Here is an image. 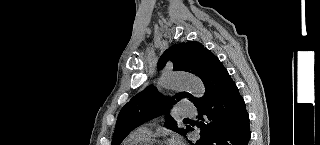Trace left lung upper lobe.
<instances>
[{
  "instance_id": "obj_1",
  "label": "left lung upper lobe",
  "mask_w": 320,
  "mask_h": 145,
  "mask_svg": "<svg viewBox=\"0 0 320 145\" xmlns=\"http://www.w3.org/2000/svg\"><path fill=\"white\" fill-rule=\"evenodd\" d=\"M217 57L205 48L201 43L188 41L177 43L167 49L160 57L157 67L162 69L168 60L173 62L175 71L190 72L202 78L207 67ZM189 98L193 103L198 98L189 93H178L176 99ZM175 103L173 98L162 96L154 86H148L145 90L135 95L120 111L116 122L112 145H119L123 139L136 127L171 108ZM166 128L186 135V129H179L175 120L168 115Z\"/></svg>"
}]
</instances>
